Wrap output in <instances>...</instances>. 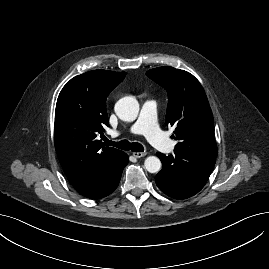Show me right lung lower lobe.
Instances as JSON below:
<instances>
[{"label": "right lung lower lobe", "mask_w": 269, "mask_h": 269, "mask_svg": "<svg viewBox=\"0 0 269 269\" xmlns=\"http://www.w3.org/2000/svg\"><path fill=\"white\" fill-rule=\"evenodd\" d=\"M129 158L124 153L112 167L106 170L104 173L90 178L78 184H74V189L81 195L91 198L100 199L111 194L118 186L122 171L128 164Z\"/></svg>", "instance_id": "obj_1"}]
</instances>
